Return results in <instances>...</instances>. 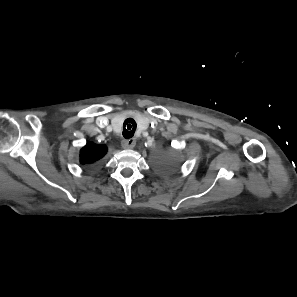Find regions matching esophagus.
Segmentation results:
<instances>
[{
  "label": "esophagus",
  "mask_w": 297,
  "mask_h": 297,
  "mask_svg": "<svg viewBox=\"0 0 297 297\" xmlns=\"http://www.w3.org/2000/svg\"><path fill=\"white\" fill-rule=\"evenodd\" d=\"M135 144H136V140L134 138H130L122 141V146L125 149H132L135 147Z\"/></svg>",
  "instance_id": "1"
}]
</instances>
